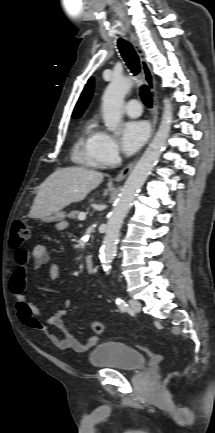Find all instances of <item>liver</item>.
Returning a JSON list of instances; mask_svg holds the SVG:
<instances>
[{
	"instance_id": "liver-1",
	"label": "liver",
	"mask_w": 215,
	"mask_h": 433,
	"mask_svg": "<svg viewBox=\"0 0 215 433\" xmlns=\"http://www.w3.org/2000/svg\"><path fill=\"white\" fill-rule=\"evenodd\" d=\"M103 173L83 167L57 169L38 187L29 217L44 219L80 202L103 181Z\"/></svg>"
}]
</instances>
